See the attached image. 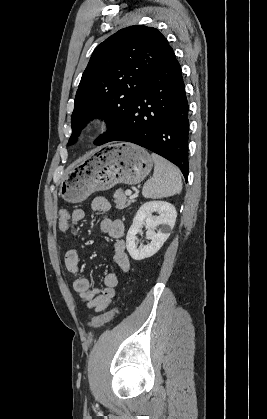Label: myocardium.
I'll list each match as a JSON object with an SVG mask.
<instances>
[{
    "label": "myocardium",
    "mask_w": 267,
    "mask_h": 419,
    "mask_svg": "<svg viewBox=\"0 0 267 419\" xmlns=\"http://www.w3.org/2000/svg\"><path fill=\"white\" fill-rule=\"evenodd\" d=\"M105 124L103 116H93L89 118L82 127L81 134L85 138H89L98 133Z\"/></svg>",
    "instance_id": "f54148a6"
}]
</instances>
